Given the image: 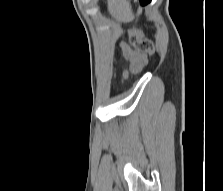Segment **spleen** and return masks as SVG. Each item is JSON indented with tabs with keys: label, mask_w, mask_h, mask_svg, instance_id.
Instances as JSON below:
<instances>
[{
	"label": "spleen",
	"mask_w": 223,
	"mask_h": 191,
	"mask_svg": "<svg viewBox=\"0 0 223 191\" xmlns=\"http://www.w3.org/2000/svg\"><path fill=\"white\" fill-rule=\"evenodd\" d=\"M108 10L119 21H129L132 18L130 4L126 0H108Z\"/></svg>",
	"instance_id": "obj_1"
}]
</instances>
